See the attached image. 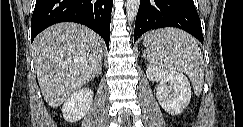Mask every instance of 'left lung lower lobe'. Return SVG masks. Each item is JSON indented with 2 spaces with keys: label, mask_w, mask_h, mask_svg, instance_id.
Returning a JSON list of instances; mask_svg holds the SVG:
<instances>
[{
  "label": "left lung lower lobe",
  "mask_w": 243,
  "mask_h": 127,
  "mask_svg": "<svg viewBox=\"0 0 243 127\" xmlns=\"http://www.w3.org/2000/svg\"><path fill=\"white\" fill-rule=\"evenodd\" d=\"M164 27L180 28L203 44L201 22L193 0H141L135 22L134 42L143 33Z\"/></svg>",
  "instance_id": "left-lung-lower-lobe-1"
}]
</instances>
